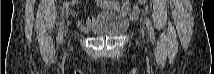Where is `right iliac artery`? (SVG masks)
Here are the masks:
<instances>
[{
  "mask_svg": "<svg viewBox=\"0 0 214 74\" xmlns=\"http://www.w3.org/2000/svg\"><path fill=\"white\" fill-rule=\"evenodd\" d=\"M63 28H64V20L60 23L59 33H58V41L62 43L63 40Z\"/></svg>",
  "mask_w": 214,
  "mask_h": 74,
  "instance_id": "right-iliac-artery-1",
  "label": "right iliac artery"
}]
</instances>
